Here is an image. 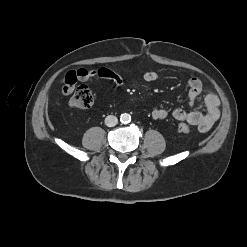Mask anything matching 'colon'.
I'll use <instances>...</instances> for the list:
<instances>
[{
    "label": "colon",
    "instance_id": "colon-1",
    "mask_svg": "<svg viewBox=\"0 0 247 247\" xmlns=\"http://www.w3.org/2000/svg\"><path fill=\"white\" fill-rule=\"evenodd\" d=\"M93 104V95L89 88L85 85H80L74 91L69 100V105L73 108L86 109ZM178 132L187 134L190 132V125L187 123H180L177 127Z\"/></svg>",
    "mask_w": 247,
    "mask_h": 247
}]
</instances>
